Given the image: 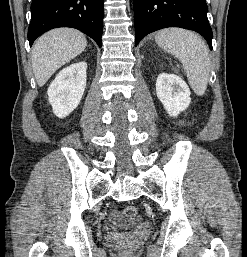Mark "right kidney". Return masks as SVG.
I'll return each mask as SVG.
<instances>
[{
    "label": "right kidney",
    "instance_id": "obj_1",
    "mask_svg": "<svg viewBox=\"0 0 247 257\" xmlns=\"http://www.w3.org/2000/svg\"><path fill=\"white\" fill-rule=\"evenodd\" d=\"M86 69V62L73 63L62 69L50 84L48 100L57 117H67L79 105L86 87Z\"/></svg>",
    "mask_w": 247,
    "mask_h": 257
}]
</instances>
